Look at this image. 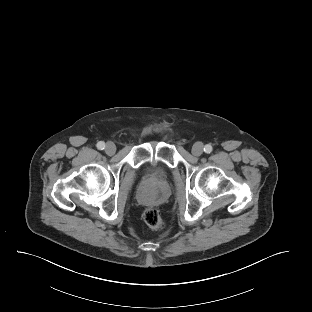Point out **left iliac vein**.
<instances>
[{
  "label": "left iliac vein",
  "mask_w": 312,
  "mask_h": 312,
  "mask_svg": "<svg viewBox=\"0 0 312 312\" xmlns=\"http://www.w3.org/2000/svg\"><path fill=\"white\" fill-rule=\"evenodd\" d=\"M192 154L194 156H200L203 153V145L200 142H197L192 147Z\"/></svg>",
  "instance_id": "left-iliac-vein-1"
}]
</instances>
